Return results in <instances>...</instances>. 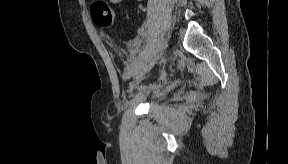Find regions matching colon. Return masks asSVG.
<instances>
[{
    "instance_id": "1",
    "label": "colon",
    "mask_w": 288,
    "mask_h": 164,
    "mask_svg": "<svg viewBox=\"0 0 288 164\" xmlns=\"http://www.w3.org/2000/svg\"><path fill=\"white\" fill-rule=\"evenodd\" d=\"M93 18L97 25L102 28H109L116 24L117 15L109 5L98 2L93 5Z\"/></svg>"
}]
</instances>
